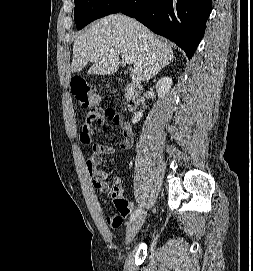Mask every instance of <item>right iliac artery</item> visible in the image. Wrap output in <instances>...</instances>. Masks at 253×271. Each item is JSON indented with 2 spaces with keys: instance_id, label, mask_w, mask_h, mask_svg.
I'll return each instance as SVG.
<instances>
[{
  "instance_id": "1",
  "label": "right iliac artery",
  "mask_w": 253,
  "mask_h": 271,
  "mask_svg": "<svg viewBox=\"0 0 253 271\" xmlns=\"http://www.w3.org/2000/svg\"><path fill=\"white\" fill-rule=\"evenodd\" d=\"M140 212H141V206H139L137 209L133 211V213L130 216V220H133Z\"/></svg>"
}]
</instances>
